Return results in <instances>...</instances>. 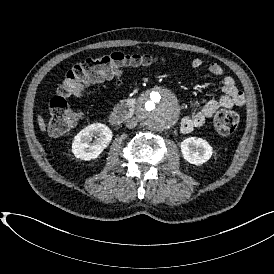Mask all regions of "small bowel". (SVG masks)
Masks as SVG:
<instances>
[{"label": "small bowel", "mask_w": 274, "mask_h": 274, "mask_svg": "<svg viewBox=\"0 0 274 274\" xmlns=\"http://www.w3.org/2000/svg\"><path fill=\"white\" fill-rule=\"evenodd\" d=\"M203 65L201 58H194L191 60V67L193 69H200ZM208 71L214 76H222L223 68L218 63H211L208 66ZM123 84L122 75H118L115 81V87H120ZM223 94L216 99L209 100L199 107H197L192 114L184 117L180 124V129L183 133H190L194 129L199 128L213 116V114L220 108H232L241 106L245 103V94L241 91L235 80L230 76H224L221 81Z\"/></svg>", "instance_id": "1"}]
</instances>
